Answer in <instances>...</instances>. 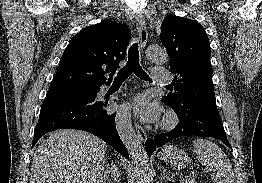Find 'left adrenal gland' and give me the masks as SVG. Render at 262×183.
<instances>
[{
	"mask_svg": "<svg viewBox=\"0 0 262 183\" xmlns=\"http://www.w3.org/2000/svg\"><path fill=\"white\" fill-rule=\"evenodd\" d=\"M163 179H167V180H172L173 177H169L167 174H166V169L163 168V171H162V175H161V180Z\"/></svg>",
	"mask_w": 262,
	"mask_h": 183,
	"instance_id": "1",
	"label": "left adrenal gland"
}]
</instances>
